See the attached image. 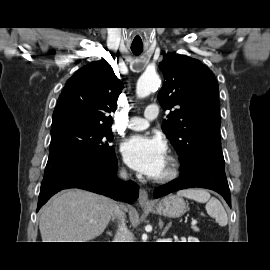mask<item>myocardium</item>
Here are the masks:
<instances>
[{
    "instance_id": "myocardium-1",
    "label": "myocardium",
    "mask_w": 270,
    "mask_h": 270,
    "mask_svg": "<svg viewBox=\"0 0 270 270\" xmlns=\"http://www.w3.org/2000/svg\"><path fill=\"white\" fill-rule=\"evenodd\" d=\"M168 167L166 172L155 178L156 183L164 184L176 179L179 175V161L175 156L167 158Z\"/></svg>"
}]
</instances>
